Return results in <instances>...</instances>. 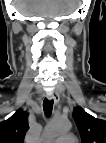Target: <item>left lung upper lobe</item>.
I'll use <instances>...</instances> for the list:
<instances>
[{"label": "left lung upper lobe", "instance_id": "1", "mask_svg": "<svg viewBox=\"0 0 106 143\" xmlns=\"http://www.w3.org/2000/svg\"><path fill=\"white\" fill-rule=\"evenodd\" d=\"M73 118L82 143H106V121L93 117L81 107L74 109Z\"/></svg>", "mask_w": 106, "mask_h": 143}]
</instances>
